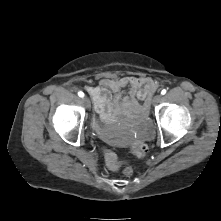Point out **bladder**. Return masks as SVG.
<instances>
[{
  "label": "bladder",
  "instance_id": "31cf9c89",
  "mask_svg": "<svg viewBox=\"0 0 221 221\" xmlns=\"http://www.w3.org/2000/svg\"><path fill=\"white\" fill-rule=\"evenodd\" d=\"M92 124H93L94 127L98 125L96 120H93ZM103 132L106 134V139L111 145H113V146H123V145H125V140L124 139L109 133L107 131V129H105V128L103 129Z\"/></svg>",
  "mask_w": 221,
  "mask_h": 221
}]
</instances>
